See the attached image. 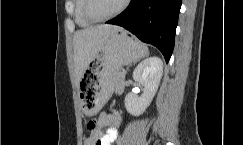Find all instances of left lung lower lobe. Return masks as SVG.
I'll return each instance as SVG.
<instances>
[{
	"label": "left lung lower lobe",
	"mask_w": 243,
	"mask_h": 145,
	"mask_svg": "<svg viewBox=\"0 0 243 145\" xmlns=\"http://www.w3.org/2000/svg\"><path fill=\"white\" fill-rule=\"evenodd\" d=\"M181 0H131L108 24L124 27L141 41L156 46L169 61L174 48Z\"/></svg>",
	"instance_id": "0a47b994"
}]
</instances>
